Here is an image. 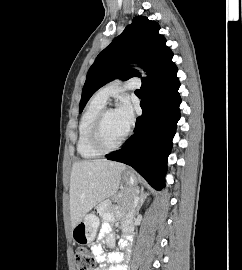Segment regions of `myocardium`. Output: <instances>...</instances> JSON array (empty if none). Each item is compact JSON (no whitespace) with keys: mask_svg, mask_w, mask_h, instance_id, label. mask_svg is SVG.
Returning <instances> with one entry per match:
<instances>
[{"mask_svg":"<svg viewBox=\"0 0 242 270\" xmlns=\"http://www.w3.org/2000/svg\"><path fill=\"white\" fill-rule=\"evenodd\" d=\"M115 111L113 108H103L98 116L96 117L90 132L89 141L91 146L100 153H109L119 149L129 136V131L127 130L123 137L114 145L107 146L102 139V131L104 126V121L106 116Z\"/></svg>","mask_w":242,"mask_h":270,"instance_id":"obj_1","label":"myocardium"}]
</instances>
